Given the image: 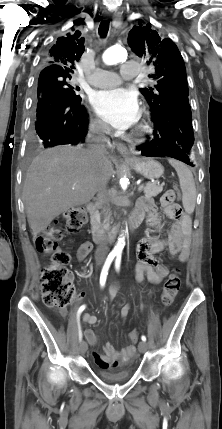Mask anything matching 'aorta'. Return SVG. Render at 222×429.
<instances>
[{
    "mask_svg": "<svg viewBox=\"0 0 222 429\" xmlns=\"http://www.w3.org/2000/svg\"><path fill=\"white\" fill-rule=\"evenodd\" d=\"M127 58V51L121 46H112L103 53V61L107 65L117 64ZM125 246V237L123 234L118 238V242L113 252L121 253Z\"/></svg>",
    "mask_w": 222,
    "mask_h": 429,
    "instance_id": "aorta-1",
    "label": "aorta"
}]
</instances>
